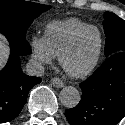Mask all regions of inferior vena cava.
<instances>
[{
  "label": "inferior vena cava",
  "instance_id": "obj_1",
  "mask_svg": "<svg viewBox=\"0 0 125 125\" xmlns=\"http://www.w3.org/2000/svg\"><path fill=\"white\" fill-rule=\"evenodd\" d=\"M27 74L30 76H38L41 77L44 74V67L41 62L36 60H29L26 65Z\"/></svg>",
  "mask_w": 125,
  "mask_h": 125
}]
</instances>
